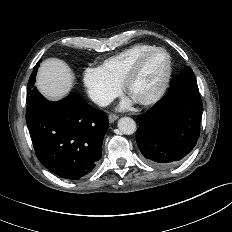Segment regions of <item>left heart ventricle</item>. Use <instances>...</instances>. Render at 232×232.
<instances>
[{
	"mask_svg": "<svg viewBox=\"0 0 232 232\" xmlns=\"http://www.w3.org/2000/svg\"><path fill=\"white\" fill-rule=\"evenodd\" d=\"M166 68L167 57L163 52H155L148 56L129 87V96L139 101L153 95L164 79Z\"/></svg>",
	"mask_w": 232,
	"mask_h": 232,
	"instance_id": "obj_1",
	"label": "left heart ventricle"
}]
</instances>
